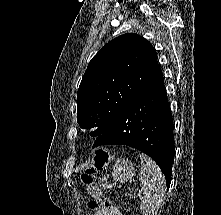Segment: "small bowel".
Here are the masks:
<instances>
[{"label":"small bowel","mask_w":221,"mask_h":215,"mask_svg":"<svg viewBox=\"0 0 221 215\" xmlns=\"http://www.w3.org/2000/svg\"><path fill=\"white\" fill-rule=\"evenodd\" d=\"M92 215H123V214L119 209L115 207H109L100 211H95Z\"/></svg>","instance_id":"small-bowel-1"}]
</instances>
